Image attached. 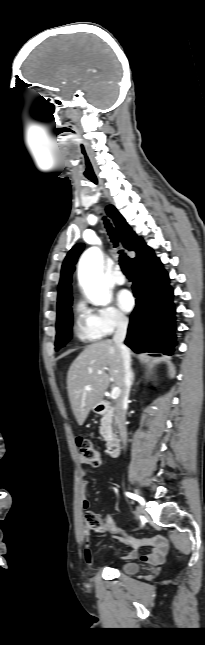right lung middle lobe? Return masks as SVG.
<instances>
[{
  "label": "right lung middle lobe",
  "mask_w": 205,
  "mask_h": 645,
  "mask_svg": "<svg viewBox=\"0 0 205 645\" xmlns=\"http://www.w3.org/2000/svg\"><path fill=\"white\" fill-rule=\"evenodd\" d=\"M71 327H72V311L71 307H67L60 314L57 315V335L55 348L59 349L63 347L68 338L71 337Z\"/></svg>",
  "instance_id": "1"
}]
</instances>
